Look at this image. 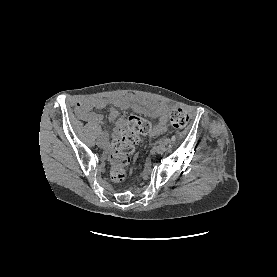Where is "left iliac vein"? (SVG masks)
<instances>
[{"mask_svg":"<svg viewBox=\"0 0 277 277\" xmlns=\"http://www.w3.org/2000/svg\"><path fill=\"white\" fill-rule=\"evenodd\" d=\"M166 150V147L164 144H159L156 148H155V152L158 154H163Z\"/></svg>","mask_w":277,"mask_h":277,"instance_id":"left-iliac-vein-1","label":"left iliac vein"}]
</instances>
